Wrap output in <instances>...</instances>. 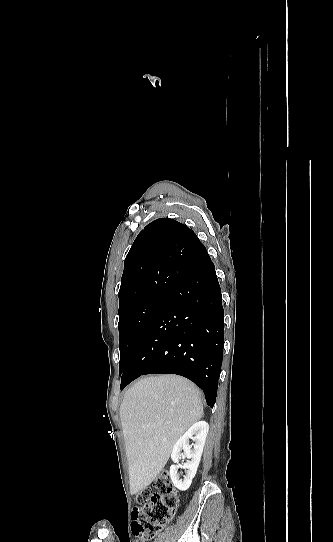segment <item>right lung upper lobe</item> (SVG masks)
<instances>
[{
  "label": "right lung upper lobe",
  "mask_w": 333,
  "mask_h": 542,
  "mask_svg": "<svg viewBox=\"0 0 333 542\" xmlns=\"http://www.w3.org/2000/svg\"><path fill=\"white\" fill-rule=\"evenodd\" d=\"M197 252L204 248L196 234L173 219L160 218L148 224L128 252L119 290V311L150 295L169 292L185 274L160 259L163 249Z\"/></svg>",
  "instance_id": "1"
}]
</instances>
